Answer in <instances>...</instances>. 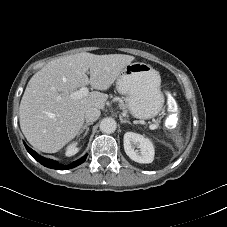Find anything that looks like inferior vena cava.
Returning a JSON list of instances; mask_svg holds the SVG:
<instances>
[{"instance_id":"obj_1","label":"inferior vena cava","mask_w":227,"mask_h":227,"mask_svg":"<svg viewBox=\"0 0 227 227\" xmlns=\"http://www.w3.org/2000/svg\"><path fill=\"white\" fill-rule=\"evenodd\" d=\"M100 110L97 108H90L85 112L86 122H95L100 117Z\"/></svg>"}]
</instances>
